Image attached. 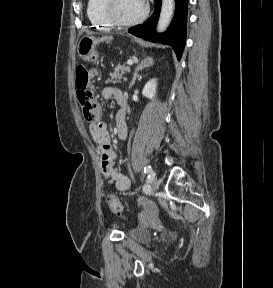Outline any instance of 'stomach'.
I'll return each instance as SVG.
<instances>
[{"label": "stomach", "instance_id": "obj_1", "mask_svg": "<svg viewBox=\"0 0 273 288\" xmlns=\"http://www.w3.org/2000/svg\"><path fill=\"white\" fill-rule=\"evenodd\" d=\"M97 41L93 36L82 37L78 43V55L85 60L89 59L94 53Z\"/></svg>", "mask_w": 273, "mask_h": 288}]
</instances>
